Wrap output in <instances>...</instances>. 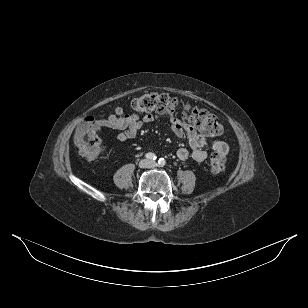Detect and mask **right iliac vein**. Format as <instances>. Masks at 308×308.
I'll return each mask as SVG.
<instances>
[{
    "label": "right iliac vein",
    "instance_id": "obj_1",
    "mask_svg": "<svg viewBox=\"0 0 308 308\" xmlns=\"http://www.w3.org/2000/svg\"><path fill=\"white\" fill-rule=\"evenodd\" d=\"M150 166V162L146 159H143L139 162V167L140 168H147Z\"/></svg>",
    "mask_w": 308,
    "mask_h": 308
}]
</instances>
